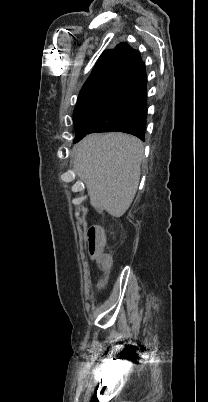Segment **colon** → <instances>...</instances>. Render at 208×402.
<instances>
[{
    "mask_svg": "<svg viewBox=\"0 0 208 402\" xmlns=\"http://www.w3.org/2000/svg\"><path fill=\"white\" fill-rule=\"evenodd\" d=\"M89 239L92 240L89 243V249L87 254L93 259V263L99 265V269L102 270V275H107V270L110 269V265L113 264V257L110 256L109 250H101L102 245H105L106 238L103 232H96L95 228L90 229ZM98 289L102 294L108 293V288L104 283L98 284Z\"/></svg>",
    "mask_w": 208,
    "mask_h": 402,
    "instance_id": "5ec220e1",
    "label": "colon"
}]
</instances>
